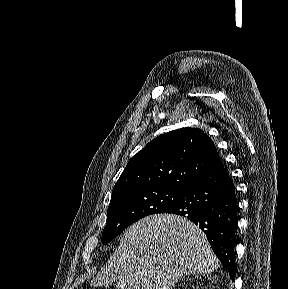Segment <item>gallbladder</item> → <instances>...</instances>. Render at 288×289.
Returning a JSON list of instances; mask_svg holds the SVG:
<instances>
[{"mask_svg": "<svg viewBox=\"0 0 288 289\" xmlns=\"http://www.w3.org/2000/svg\"><path fill=\"white\" fill-rule=\"evenodd\" d=\"M115 283H116V281L112 279V281L108 282L107 285H112V284H115Z\"/></svg>", "mask_w": 288, "mask_h": 289, "instance_id": "bac80fb5", "label": "gallbladder"}]
</instances>
